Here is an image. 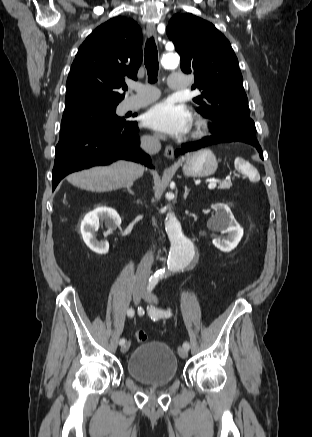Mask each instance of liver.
I'll list each match as a JSON object with an SVG mask.
<instances>
[{
  "label": "liver",
  "mask_w": 312,
  "mask_h": 437,
  "mask_svg": "<svg viewBox=\"0 0 312 437\" xmlns=\"http://www.w3.org/2000/svg\"><path fill=\"white\" fill-rule=\"evenodd\" d=\"M144 174L140 164L119 160L109 166H97L67 177L72 185L92 192H109L133 185Z\"/></svg>",
  "instance_id": "obj_1"
}]
</instances>
